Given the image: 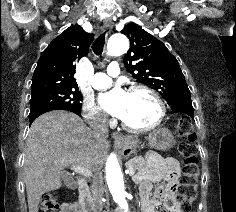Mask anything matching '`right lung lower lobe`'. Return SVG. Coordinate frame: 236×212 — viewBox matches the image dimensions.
Here are the masks:
<instances>
[{
  "label": "right lung lower lobe",
  "instance_id": "right-lung-lower-lobe-1",
  "mask_svg": "<svg viewBox=\"0 0 236 212\" xmlns=\"http://www.w3.org/2000/svg\"><path fill=\"white\" fill-rule=\"evenodd\" d=\"M52 110H57L55 108H40V109H37L35 111H30V114H29V120H30V124L38 117L40 116L41 114L45 113V112H48V111H52ZM65 110V109H63ZM68 111H71V112H74L75 114H77L78 116H81V112L80 111H75V110H68Z\"/></svg>",
  "mask_w": 236,
  "mask_h": 212
}]
</instances>
